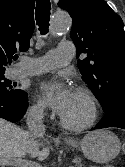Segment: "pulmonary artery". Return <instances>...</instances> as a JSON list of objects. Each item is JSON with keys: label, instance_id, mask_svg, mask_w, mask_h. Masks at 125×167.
<instances>
[{"label": "pulmonary artery", "instance_id": "pulmonary-artery-1", "mask_svg": "<svg viewBox=\"0 0 125 167\" xmlns=\"http://www.w3.org/2000/svg\"><path fill=\"white\" fill-rule=\"evenodd\" d=\"M74 56V48L71 42L63 41L56 49L50 50L45 55L36 58H27L28 65L20 66L14 78L33 76L61 68L70 63Z\"/></svg>", "mask_w": 125, "mask_h": 167}]
</instances>
